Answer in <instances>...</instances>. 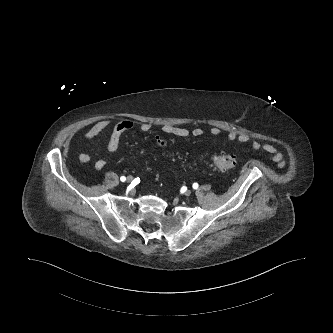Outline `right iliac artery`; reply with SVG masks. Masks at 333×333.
<instances>
[{"instance_id": "obj_1", "label": "right iliac artery", "mask_w": 333, "mask_h": 333, "mask_svg": "<svg viewBox=\"0 0 333 333\" xmlns=\"http://www.w3.org/2000/svg\"><path fill=\"white\" fill-rule=\"evenodd\" d=\"M120 180H121L122 182H124V181L126 180V177H125V176H121V177H120Z\"/></svg>"}]
</instances>
